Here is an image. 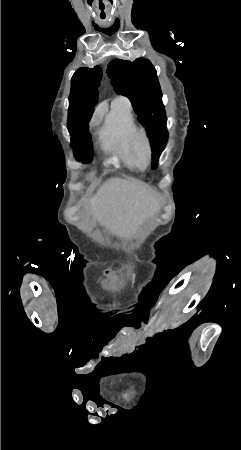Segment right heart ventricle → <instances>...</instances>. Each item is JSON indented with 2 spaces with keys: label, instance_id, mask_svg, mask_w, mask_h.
Wrapping results in <instances>:
<instances>
[{
  "label": "right heart ventricle",
  "instance_id": "e07e8e85",
  "mask_svg": "<svg viewBox=\"0 0 241 450\" xmlns=\"http://www.w3.org/2000/svg\"><path fill=\"white\" fill-rule=\"evenodd\" d=\"M134 122L130 106L122 100L116 101L99 130V140L105 151L111 152L126 162L134 161L133 149H129L127 138L134 136Z\"/></svg>",
  "mask_w": 241,
  "mask_h": 450
}]
</instances>
